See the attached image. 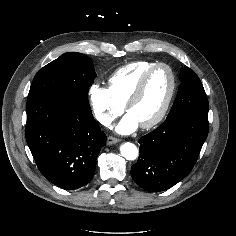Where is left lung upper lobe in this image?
Masks as SVG:
<instances>
[{
	"mask_svg": "<svg viewBox=\"0 0 236 236\" xmlns=\"http://www.w3.org/2000/svg\"><path fill=\"white\" fill-rule=\"evenodd\" d=\"M180 80L182 83L167 118L183 113L208 115L209 104L196 73L185 66L180 70Z\"/></svg>",
	"mask_w": 236,
	"mask_h": 236,
	"instance_id": "5c2ea615",
	"label": "left lung upper lobe"
}]
</instances>
